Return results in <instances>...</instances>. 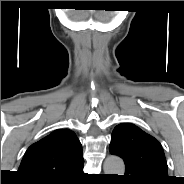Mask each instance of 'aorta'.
Instances as JSON below:
<instances>
[{"mask_svg":"<svg viewBox=\"0 0 184 184\" xmlns=\"http://www.w3.org/2000/svg\"><path fill=\"white\" fill-rule=\"evenodd\" d=\"M105 174L123 175L125 172V165L123 160L118 156H108L104 162Z\"/></svg>","mask_w":184,"mask_h":184,"instance_id":"obj_1","label":"aorta"}]
</instances>
